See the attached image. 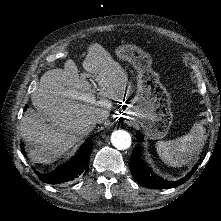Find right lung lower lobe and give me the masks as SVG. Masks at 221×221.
I'll return each instance as SVG.
<instances>
[{
	"label": "right lung lower lobe",
	"mask_w": 221,
	"mask_h": 221,
	"mask_svg": "<svg viewBox=\"0 0 221 221\" xmlns=\"http://www.w3.org/2000/svg\"><path fill=\"white\" fill-rule=\"evenodd\" d=\"M24 153V147H21ZM92 152V141L88 140L78 150L75 157H73L66 165L56 168L50 174L42 175L37 171V176L45 183L48 184H61L64 182L77 179L79 176L84 175L89 168V159Z\"/></svg>",
	"instance_id": "98d812e1"
}]
</instances>
